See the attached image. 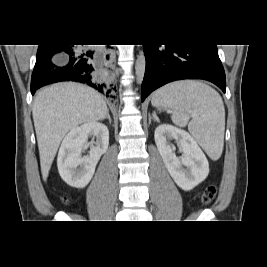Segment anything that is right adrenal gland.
<instances>
[{
	"label": "right adrenal gland",
	"instance_id": "right-adrenal-gland-1",
	"mask_svg": "<svg viewBox=\"0 0 267 267\" xmlns=\"http://www.w3.org/2000/svg\"><path fill=\"white\" fill-rule=\"evenodd\" d=\"M104 119H108V121H109V124H111V117H110V114H109V111L107 112V115H106V117L104 118Z\"/></svg>",
	"mask_w": 267,
	"mask_h": 267
}]
</instances>
